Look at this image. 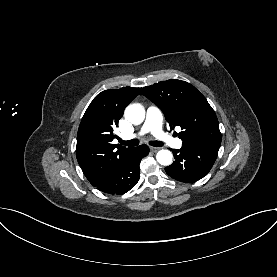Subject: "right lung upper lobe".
Returning <instances> with one entry per match:
<instances>
[{
    "label": "right lung upper lobe",
    "instance_id": "cb5924a9",
    "mask_svg": "<svg viewBox=\"0 0 277 277\" xmlns=\"http://www.w3.org/2000/svg\"><path fill=\"white\" fill-rule=\"evenodd\" d=\"M141 88L124 87L99 93L87 108L77 134V161L89 182L95 186L104 180L132 151L112 144L125 107Z\"/></svg>",
    "mask_w": 277,
    "mask_h": 277
}]
</instances>
